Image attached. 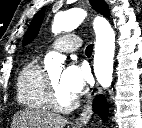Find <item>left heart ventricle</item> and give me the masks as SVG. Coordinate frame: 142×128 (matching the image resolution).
Wrapping results in <instances>:
<instances>
[{"instance_id":"1","label":"left heart ventricle","mask_w":142,"mask_h":128,"mask_svg":"<svg viewBox=\"0 0 142 128\" xmlns=\"http://www.w3.org/2000/svg\"><path fill=\"white\" fill-rule=\"evenodd\" d=\"M61 70H57L53 73L50 74V78L58 92V97H59V101L61 103H67L72 96H70L68 93H66L60 86V77H61Z\"/></svg>"}]
</instances>
